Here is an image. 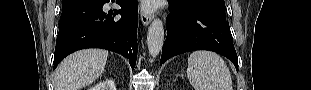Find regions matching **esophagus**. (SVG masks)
I'll use <instances>...</instances> for the list:
<instances>
[{
  "label": "esophagus",
  "mask_w": 311,
  "mask_h": 90,
  "mask_svg": "<svg viewBox=\"0 0 311 90\" xmlns=\"http://www.w3.org/2000/svg\"><path fill=\"white\" fill-rule=\"evenodd\" d=\"M140 18L143 26H147L152 20V16L148 14L146 11H144L143 8L141 9L140 12Z\"/></svg>",
  "instance_id": "obj_1"
}]
</instances>
